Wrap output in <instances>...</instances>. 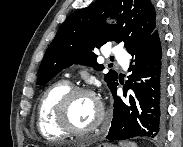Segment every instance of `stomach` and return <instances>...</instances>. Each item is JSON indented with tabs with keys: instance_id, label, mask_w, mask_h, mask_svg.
I'll use <instances>...</instances> for the list:
<instances>
[{
	"instance_id": "stomach-1",
	"label": "stomach",
	"mask_w": 183,
	"mask_h": 147,
	"mask_svg": "<svg viewBox=\"0 0 183 147\" xmlns=\"http://www.w3.org/2000/svg\"><path fill=\"white\" fill-rule=\"evenodd\" d=\"M97 147H116V146L108 144V143H102V144H99Z\"/></svg>"
}]
</instances>
